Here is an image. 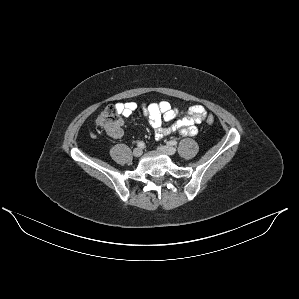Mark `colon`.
Segmentation results:
<instances>
[{
  "label": "colon",
  "mask_w": 299,
  "mask_h": 299,
  "mask_svg": "<svg viewBox=\"0 0 299 299\" xmlns=\"http://www.w3.org/2000/svg\"><path fill=\"white\" fill-rule=\"evenodd\" d=\"M206 122L208 124L214 123V117L207 114ZM122 121L119 112L114 107H108L103 110L96 119V126L107 133L116 134L121 130Z\"/></svg>",
  "instance_id": "obj_1"
}]
</instances>
